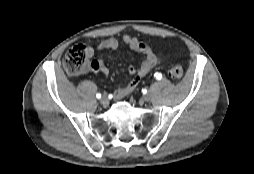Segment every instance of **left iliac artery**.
I'll return each instance as SVG.
<instances>
[{
	"label": "left iliac artery",
	"mask_w": 254,
	"mask_h": 174,
	"mask_svg": "<svg viewBox=\"0 0 254 174\" xmlns=\"http://www.w3.org/2000/svg\"><path fill=\"white\" fill-rule=\"evenodd\" d=\"M155 78L160 80L162 78V74L161 73H155Z\"/></svg>",
	"instance_id": "obj_1"
}]
</instances>
